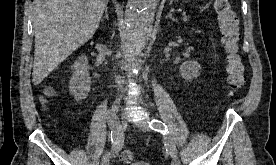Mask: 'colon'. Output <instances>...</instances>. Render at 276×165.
<instances>
[{"mask_svg":"<svg viewBox=\"0 0 276 165\" xmlns=\"http://www.w3.org/2000/svg\"><path fill=\"white\" fill-rule=\"evenodd\" d=\"M220 41L225 53L227 81L230 95L241 89L246 81L245 67L239 50L238 18L228 0H216ZM54 91L49 88L47 95L52 96ZM120 161L129 164L134 160V152L126 149L120 154Z\"/></svg>","mask_w":276,"mask_h":165,"instance_id":"obj_1","label":"colon"}]
</instances>
